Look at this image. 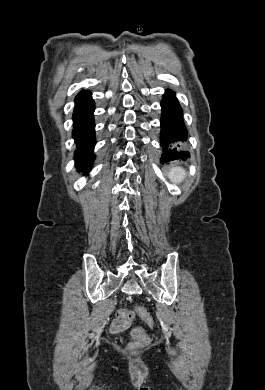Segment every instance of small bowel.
<instances>
[{"instance_id":"c3829d8e","label":"small bowel","mask_w":265,"mask_h":390,"mask_svg":"<svg viewBox=\"0 0 265 390\" xmlns=\"http://www.w3.org/2000/svg\"><path fill=\"white\" fill-rule=\"evenodd\" d=\"M129 327V322L120 319H115L111 323V330L114 333H120Z\"/></svg>"}]
</instances>
